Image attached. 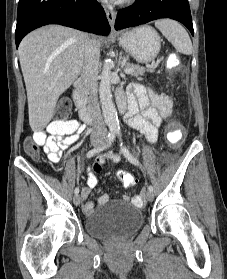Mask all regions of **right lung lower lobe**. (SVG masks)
<instances>
[{
	"instance_id": "1",
	"label": "right lung lower lobe",
	"mask_w": 227,
	"mask_h": 279,
	"mask_svg": "<svg viewBox=\"0 0 227 279\" xmlns=\"http://www.w3.org/2000/svg\"><path fill=\"white\" fill-rule=\"evenodd\" d=\"M47 24H60L98 35L110 32L105 12L96 0H19L16 47L30 31Z\"/></svg>"
}]
</instances>
